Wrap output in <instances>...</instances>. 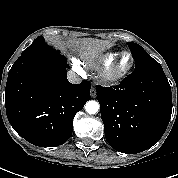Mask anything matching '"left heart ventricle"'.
Returning <instances> with one entry per match:
<instances>
[{
	"instance_id": "1",
	"label": "left heart ventricle",
	"mask_w": 178,
	"mask_h": 178,
	"mask_svg": "<svg viewBox=\"0 0 178 178\" xmlns=\"http://www.w3.org/2000/svg\"><path fill=\"white\" fill-rule=\"evenodd\" d=\"M131 64V57L128 54H124L120 59L118 70H125Z\"/></svg>"
}]
</instances>
